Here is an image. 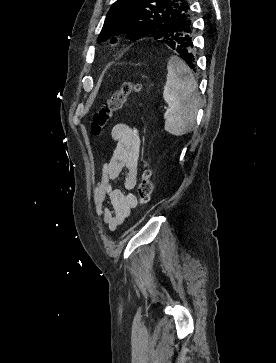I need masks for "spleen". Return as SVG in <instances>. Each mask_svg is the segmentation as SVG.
<instances>
[{"mask_svg":"<svg viewBox=\"0 0 276 363\" xmlns=\"http://www.w3.org/2000/svg\"><path fill=\"white\" fill-rule=\"evenodd\" d=\"M163 98L168 104L164 114L165 131L182 136L192 131L199 107L198 84L186 63L171 56L167 64Z\"/></svg>","mask_w":276,"mask_h":363,"instance_id":"obj_1","label":"spleen"}]
</instances>
